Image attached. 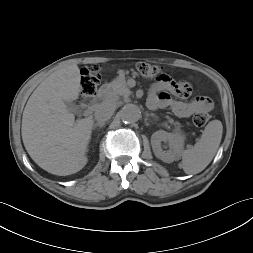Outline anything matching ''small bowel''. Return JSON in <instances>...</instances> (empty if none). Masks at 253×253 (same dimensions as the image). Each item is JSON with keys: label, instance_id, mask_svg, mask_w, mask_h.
Returning a JSON list of instances; mask_svg holds the SVG:
<instances>
[{"label": "small bowel", "instance_id": "c3829d8e", "mask_svg": "<svg viewBox=\"0 0 253 253\" xmlns=\"http://www.w3.org/2000/svg\"><path fill=\"white\" fill-rule=\"evenodd\" d=\"M121 75L122 71H119L118 76ZM190 93L191 89L187 83L176 82L165 75L151 85L147 104L151 109L170 108L175 115L182 118L211 110L212 101L208 97L198 95L187 102L174 97L186 98Z\"/></svg>", "mask_w": 253, "mask_h": 253}]
</instances>
